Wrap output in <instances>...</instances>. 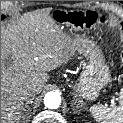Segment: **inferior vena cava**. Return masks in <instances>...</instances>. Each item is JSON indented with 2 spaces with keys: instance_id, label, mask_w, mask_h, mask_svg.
I'll list each match as a JSON object with an SVG mask.
<instances>
[{
  "instance_id": "1",
  "label": "inferior vena cava",
  "mask_w": 123,
  "mask_h": 123,
  "mask_svg": "<svg viewBox=\"0 0 123 123\" xmlns=\"http://www.w3.org/2000/svg\"><path fill=\"white\" fill-rule=\"evenodd\" d=\"M34 95H35V94H34V92L31 90V88L25 89V90L23 91V97H24L25 100H28L29 97H32V96H34Z\"/></svg>"
}]
</instances>
